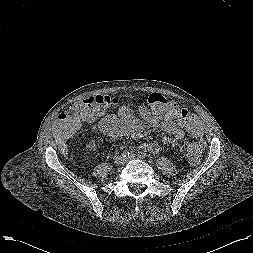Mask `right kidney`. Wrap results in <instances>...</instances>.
I'll return each instance as SVG.
<instances>
[{"label": "right kidney", "instance_id": "ca27d5eb", "mask_svg": "<svg viewBox=\"0 0 253 253\" xmlns=\"http://www.w3.org/2000/svg\"><path fill=\"white\" fill-rule=\"evenodd\" d=\"M87 147H89V148H91V149L94 150V149H95V143H94L93 145L90 144V145H88Z\"/></svg>", "mask_w": 253, "mask_h": 253}]
</instances>
